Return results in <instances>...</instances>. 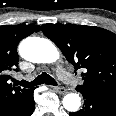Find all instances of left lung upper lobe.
I'll return each mask as SVG.
<instances>
[{
  "mask_svg": "<svg viewBox=\"0 0 116 116\" xmlns=\"http://www.w3.org/2000/svg\"><path fill=\"white\" fill-rule=\"evenodd\" d=\"M41 31L75 69H84L77 91L116 94V34L95 26L44 24Z\"/></svg>",
  "mask_w": 116,
  "mask_h": 116,
  "instance_id": "obj_1",
  "label": "left lung upper lobe"
}]
</instances>
